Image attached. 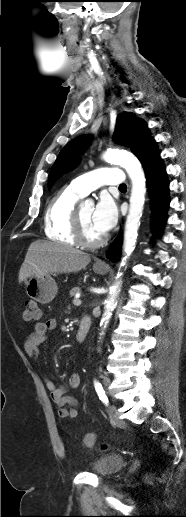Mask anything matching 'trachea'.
Listing matches in <instances>:
<instances>
[{
	"label": "trachea",
	"mask_w": 186,
	"mask_h": 517,
	"mask_svg": "<svg viewBox=\"0 0 186 517\" xmlns=\"http://www.w3.org/2000/svg\"><path fill=\"white\" fill-rule=\"evenodd\" d=\"M119 188H120V189H126V188H127V186H126L125 184H121V185L119 186Z\"/></svg>",
	"instance_id": "trachea-1"
}]
</instances>
